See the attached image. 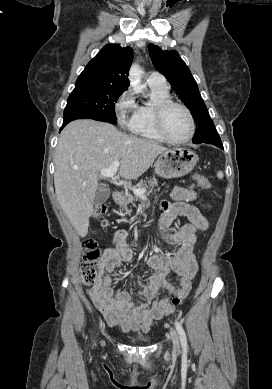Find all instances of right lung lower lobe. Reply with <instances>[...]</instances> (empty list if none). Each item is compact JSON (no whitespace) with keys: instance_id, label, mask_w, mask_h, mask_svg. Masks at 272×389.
<instances>
[{"instance_id":"obj_1","label":"right lung lower lobe","mask_w":272,"mask_h":389,"mask_svg":"<svg viewBox=\"0 0 272 389\" xmlns=\"http://www.w3.org/2000/svg\"><path fill=\"white\" fill-rule=\"evenodd\" d=\"M76 119H85V118L82 116H79V115H71V116L63 117V125H62L60 131L66 126V124H68L69 122L76 120Z\"/></svg>"}]
</instances>
